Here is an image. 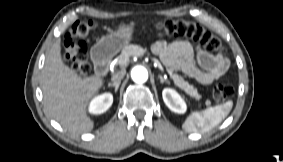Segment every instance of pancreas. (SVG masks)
I'll return each mask as SVG.
<instances>
[{
	"instance_id": "1",
	"label": "pancreas",
	"mask_w": 283,
	"mask_h": 162,
	"mask_svg": "<svg viewBox=\"0 0 283 162\" xmlns=\"http://www.w3.org/2000/svg\"><path fill=\"white\" fill-rule=\"evenodd\" d=\"M145 53H147V50L143 49L142 47H140L138 45H128L122 50V54H121L120 59L124 60L125 58L132 56V55L142 56ZM168 73L170 74L171 78L174 81V84L177 87H179L181 90H183L191 98H194L195 100L201 99V95L198 93L197 88L190 85L187 81L184 80V78L182 76H179L172 69H168Z\"/></svg>"
}]
</instances>
